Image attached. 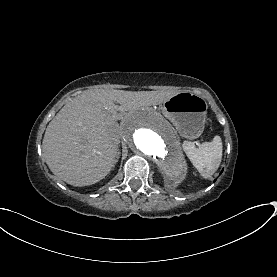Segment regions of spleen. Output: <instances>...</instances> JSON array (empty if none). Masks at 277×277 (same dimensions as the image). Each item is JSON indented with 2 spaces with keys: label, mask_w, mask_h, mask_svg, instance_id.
<instances>
[{
  "label": "spleen",
  "mask_w": 277,
  "mask_h": 277,
  "mask_svg": "<svg viewBox=\"0 0 277 277\" xmlns=\"http://www.w3.org/2000/svg\"><path fill=\"white\" fill-rule=\"evenodd\" d=\"M183 149L204 178L211 176L221 162L222 142L217 135L211 141L202 142L198 147L194 142L184 141Z\"/></svg>",
  "instance_id": "3e777b00"
}]
</instances>
